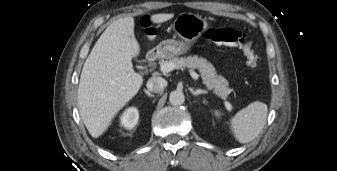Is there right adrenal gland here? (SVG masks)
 I'll list each match as a JSON object with an SVG mask.
<instances>
[{
	"label": "right adrenal gland",
	"mask_w": 337,
	"mask_h": 171,
	"mask_svg": "<svg viewBox=\"0 0 337 171\" xmlns=\"http://www.w3.org/2000/svg\"><path fill=\"white\" fill-rule=\"evenodd\" d=\"M144 92L149 96V97H153V95L146 89H144Z\"/></svg>",
	"instance_id": "obj_1"
}]
</instances>
